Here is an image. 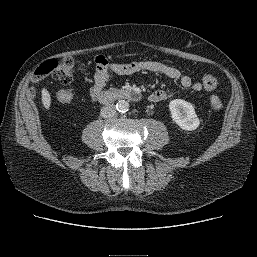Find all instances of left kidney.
Segmentation results:
<instances>
[{"label":"left kidney","mask_w":257,"mask_h":257,"mask_svg":"<svg viewBox=\"0 0 257 257\" xmlns=\"http://www.w3.org/2000/svg\"><path fill=\"white\" fill-rule=\"evenodd\" d=\"M171 118L181 129L193 131L200 125L193 105L182 99H175L169 103Z\"/></svg>","instance_id":"1"}]
</instances>
